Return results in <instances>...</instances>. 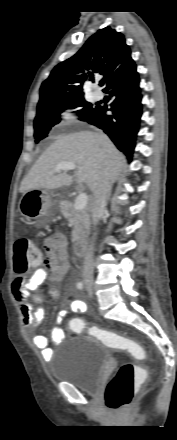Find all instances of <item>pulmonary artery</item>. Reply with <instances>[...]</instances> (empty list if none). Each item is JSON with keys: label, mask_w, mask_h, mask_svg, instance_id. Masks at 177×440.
Listing matches in <instances>:
<instances>
[{"label": "pulmonary artery", "mask_w": 177, "mask_h": 440, "mask_svg": "<svg viewBox=\"0 0 177 440\" xmlns=\"http://www.w3.org/2000/svg\"><path fill=\"white\" fill-rule=\"evenodd\" d=\"M103 98V94L101 92H95L94 93V99L95 100H101Z\"/></svg>", "instance_id": "pulmonary-artery-1"}]
</instances>
